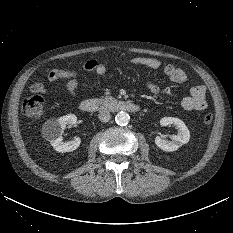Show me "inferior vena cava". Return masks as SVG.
Listing matches in <instances>:
<instances>
[{
    "label": "inferior vena cava",
    "instance_id": "1",
    "mask_svg": "<svg viewBox=\"0 0 233 233\" xmlns=\"http://www.w3.org/2000/svg\"><path fill=\"white\" fill-rule=\"evenodd\" d=\"M98 118L101 122H108L111 119V114L107 109L100 110Z\"/></svg>",
    "mask_w": 233,
    "mask_h": 233
}]
</instances>
